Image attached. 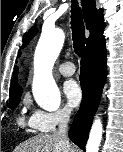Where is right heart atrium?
<instances>
[{"instance_id": "1", "label": "right heart atrium", "mask_w": 123, "mask_h": 152, "mask_svg": "<svg viewBox=\"0 0 123 152\" xmlns=\"http://www.w3.org/2000/svg\"><path fill=\"white\" fill-rule=\"evenodd\" d=\"M71 117V110L68 107H62L55 111H44L36 109L29 118V125L39 132H51L59 124L64 123Z\"/></svg>"}]
</instances>
